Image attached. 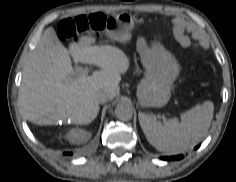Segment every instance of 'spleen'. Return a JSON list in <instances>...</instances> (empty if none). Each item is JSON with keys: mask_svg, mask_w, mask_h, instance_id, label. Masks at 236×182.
I'll return each mask as SVG.
<instances>
[{"mask_svg": "<svg viewBox=\"0 0 236 182\" xmlns=\"http://www.w3.org/2000/svg\"><path fill=\"white\" fill-rule=\"evenodd\" d=\"M213 109V103L207 101L182 113L181 121L172 118L163 123L145 113H139L138 117L152 146L167 154H179L193 148L205 137L213 118Z\"/></svg>", "mask_w": 236, "mask_h": 182, "instance_id": "obj_1", "label": "spleen"}]
</instances>
